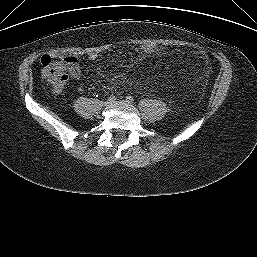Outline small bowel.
I'll list each match as a JSON object with an SVG mask.
<instances>
[{
    "label": "small bowel",
    "mask_w": 257,
    "mask_h": 257,
    "mask_svg": "<svg viewBox=\"0 0 257 257\" xmlns=\"http://www.w3.org/2000/svg\"><path fill=\"white\" fill-rule=\"evenodd\" d=\"M54 57L59 58L57 62L68 74L72 79H79L81 76V69L79 65V57L78 55H59L55 54ZM90 59H96L97 54L91 53L89 55Z\"/></svg>",
    "instance_id": "1"
}]
</instances>
